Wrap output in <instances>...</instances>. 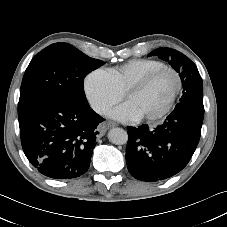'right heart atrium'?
Wrapping results in <instances>:
<instances>
[{
  "label": "right heart atrium",
  "mask_w": 227,
  "mask_h": 227,
  "mask_svg": "<svg viewBox=\"0 0 227 227\" xmlns=\"http://www.w3.org/2000/svg\"><path fill=\"white\" fill-rule=\"evenodd\" d=\"M83 88L92 108L101 115L107 114L122 95L106 69L89 73L84 79Z\"/></svg>",
  "instance_id": "right-heart-atrium-1"
}]
</instances>
